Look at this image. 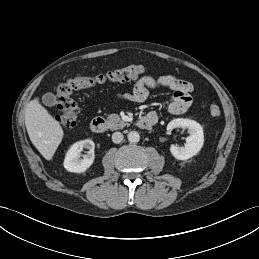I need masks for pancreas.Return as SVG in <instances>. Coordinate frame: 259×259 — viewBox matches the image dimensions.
<instances>
[{"label":"pancreas","mask_w":259,"mask_h":259,"mask_svg":"<svg viewBox=\"0 0 259 259\" xmlns=\"http://www.w3.org/2000/svg\"><path fill=\"white\" fill-rule=\"evenodd\" d=\"M107 122H108V127L111 130L122 129L127 125V123L121 120V118L117 114H110L107 117Z\"/></svg>","instance_id":"1"}]
</instances>
